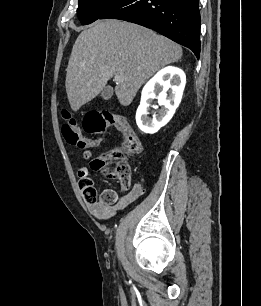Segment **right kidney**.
I'll return each instance as SVG.
<instances>
[{"label":"right kidney","mask_w":261,"mask_h":306,"mask_svg":"<svg viewBox=\"0 0 261 306\" xmlns=\"http://www.w3.org/2000/svg\"><path fill=\"white\" fill-rule=\"evenodd\" d=\"M185 84V73L173 66L163 68L146 83L136 112V123L140 130L148 134H154L170 121L181 102ZM169 89L170 92L167 97ZM156 97L162 109L158 115H154L151 119L147 117L148 108Z\"/></svg>","instance_id":"obj_1"}]
</instances>
